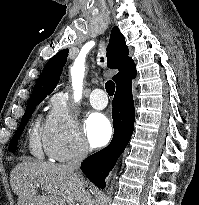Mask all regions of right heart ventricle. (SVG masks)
<instances>
[{
  "instance_id": "right-heart-ventricle-1",
  "label": "right heart ventricle",
  "mask_w": 199,
  "mask_h": 205,
  "mask_svg": "<svg viewBox=\"0 0 199 205\" xmlns=\"http://www.w3.org/2000/svg\"><path fill=\"white\" fill-rule=\"evenodd\" d=\"M29 149L35 157L40 159L43 158L44 152H46L43 130H41L38 125H36L31 131L29 137Z\"/></svg>"
}]
</instances>
